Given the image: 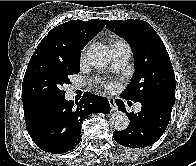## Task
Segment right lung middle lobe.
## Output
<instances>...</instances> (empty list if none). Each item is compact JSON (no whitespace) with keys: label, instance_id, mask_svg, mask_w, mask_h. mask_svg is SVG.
I'll return each mask as SVG.
<instances>
[{"label":"right lung middle lobe","instance_id":"obj_1","mask_svg":"<svg viewBox=\"0 0 196 166\" xmlns=\"http://www.w3.org/2000/svg\"><path fill=\"white\" fill-rule=\"evenodd\" d=\"M79 60L63 63L45 55H32L22 83V102L58 98L65 95L62 86L69 76L79 73Z\"/></svg>","mask_w":196,"mask_h":166}]
</instances>
